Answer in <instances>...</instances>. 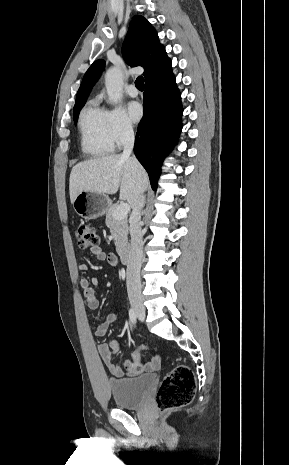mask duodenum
<instances>
[{
  "label": "duodenum",
  "instance_id": "obj_1",
  "mask_svg": "<svg viewBox=\"0 0 289 465\" xmlns=\"http://www.w3.org/2000/svg\"><path fill=\"white\" fill-rule=\"evenodd\" d=\"M120 258L123 264H128L131 259L130 249L128 247H124L120 251Z\"/></svg>",
  "mask_w": 289,
  "mask_h": 465
}]
</instances>
